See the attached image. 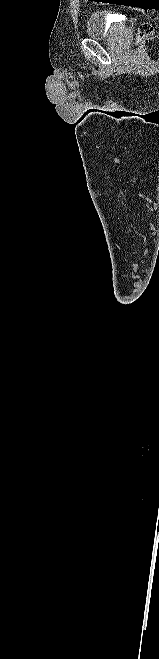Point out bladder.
<instances>
[{
    "mask_svg": "<svg viewBox=\"0 0 159 659\" xmlns=\"http://www.w3.org/2000/svg\"><path fill=\"white\" fill-rule=\"evenodd\" d=\"M117 29V25L107 21L102 12L92 13L85 23V34L89 39L113 38Z\"/></svg>",
    "mask_w": 159,
    "mask_h": 659,
    "instance_id": "obj_1",
    "label": "bladder"
}]
</instances>
